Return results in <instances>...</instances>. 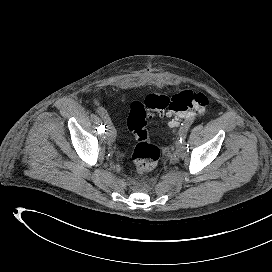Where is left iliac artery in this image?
I'll use <instances>...</instances> for the list:
<instances>
[{"mask_svg":"<svg viewBox=\"0 0 272 272\" xmlns=\"http://www.w3.org/2000/svg\"><path fill=\"white\" fill-rule=\"evenodd\" d=\"M192 123H193V120H187L182 124L179 130V137H180L179 141L181 144L185 142L187 131Z\"/></svg>","mask_w":272,"mask_h":272,"instance_id":"left-iliac-artery-1","label":"left iliac artery"}]
</instances>
